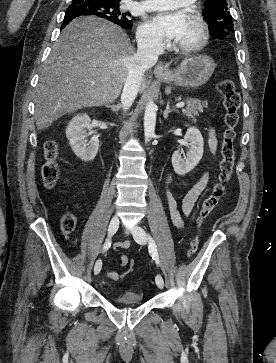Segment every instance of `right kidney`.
<instances>
[{
    "label": "right kidney",
    "mask_w": 276,
    "mask_h": 363,
    "mask_svg": "<svg viewBox=\"0 0 276 363\" xmlns=\"http://www.w3.org/2000/svg\"><path fill=\"white\" fill-rule=\"evenodd\" d=\"M93 133L91 120L87 114L74 116L66 128V137L69 144L75 155L82 161H91L97 155L99 149L98 136L93 135L89 141L87 139Z\"/></svg>",
    "instance_id": "obj_1"
}]
</instances>
